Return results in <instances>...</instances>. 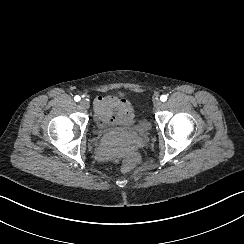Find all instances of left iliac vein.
Returning <instances> with one entry per match:
<instances>
[{"instance_id":"4c4485c4","label":"left iliac vein","mask_w":244,"mask_h":244,"mask_svg":"<svg viewBox=\"0 0 244 244\" xmlns=\"http://www.w3.org/2000/svg\"><path fill=\"white\" fill-rule=\"evenodd\" d=\"M154 108L161 109L163 107V103L159 100H156L153 104Z\"/></svg>"}]
</instances>
